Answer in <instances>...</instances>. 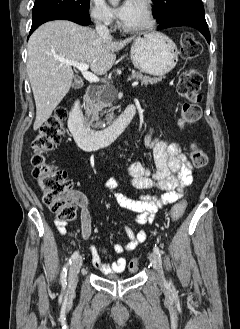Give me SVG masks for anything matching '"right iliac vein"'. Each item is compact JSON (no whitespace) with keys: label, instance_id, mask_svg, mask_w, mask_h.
Returning a JSON list of instances; mask_svg holds the SVG:
<instances>
[{"label":"right iliac vein","instance_id":"right-iliac-vein-1","mask_svg":"<svg viewBox=\"0 0 240 329\" xmlns=\"http://www.w3.org/2000/svg\"><path fill=\"white\" fill-rule=\"evenodd\" d=\"M82 262V257H77L70 266L68 275V288L71 291L74 290L77 285L78 273L81 268Z\"/></svg>","mask_w":240,"mask_h":329}]
</instances>
